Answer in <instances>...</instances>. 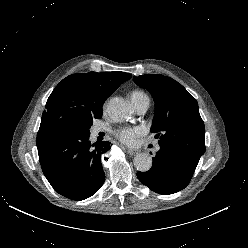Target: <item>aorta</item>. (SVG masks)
Segmentation results:
<instances>
[{
    "label": "aorta",
    "mask_w": 248,
    "mask_h": 248,
    "mask_svg": "<svg viewBox=\"0 0 248 248\" xmlns=\"http://www.w3.org/2000/svg\"><path fill=\"white\" fill-rule=\"evenodd\" d=\"M107 111L115 122H123L132 114L131 106L123 98L114 97L110 99ZM134 166L140 172L149 171L152 167V158L147 153H139L134 157Z\"/></svg>",
    "instance_id": "obj_1"
}]
</instances>
